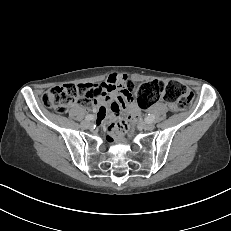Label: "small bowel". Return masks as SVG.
I'll return each instance as SVG.
<instances>
[{"label": "small bowel", "mask_w": 231, "mask_h": 231, "mask_svg": "<svg viewBox=\"0 0 231 231\" xmlns=\"http://www.w3.org/2000/svg\"><path fill=\"white\" fill-rule=\"evenodd\" d=\"M126 82L125 75L111 74L100 84H81L90 91L87 101L98 106L99 124L104 121L106 116L113 119L122 109L137 110L130 92L125 89Z\"/></svg>", "instance_id": "1"}]
</instances>
